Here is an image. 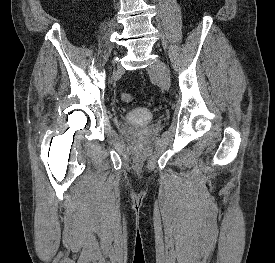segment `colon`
Wrapping results in <instances>:
<instances>
[{
	"mask_svg": "<svg viewBox=\"0 0 275 263\" xmlns=\"http://www.w3.org/2000/svg\"><path fill=\"white\" fill-rule=\"evenodd\" d=\"M120 97H121V100L126 103H135L136 102V96L134 94H131L128 92H121Z\"/></svg>",
	"mask_w": 275,
	"mask_h": 263,
	"instance_id": "1",
	"label": "colon"
}]
</instances>
